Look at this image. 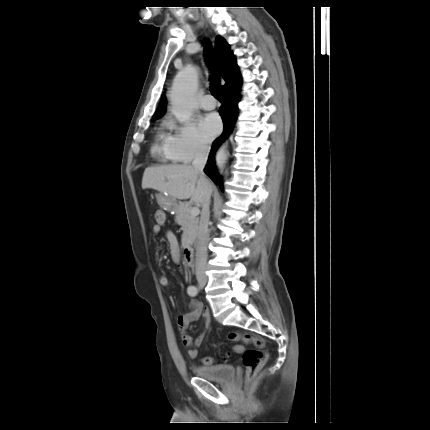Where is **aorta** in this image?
I'll use <instances>...</instances> for the list:
<instances>
[{
	"mask_svg": "<svg viewBox=\"0 0 430 430\" xmlns=\"http://www.w3.org/2000/svg\"><path fill=\"white\" fill-rule=\"evenodd\" d=\"M197 89V74L192 68H186L174 79L169 94L171 111L180 122H186L191 118L194 107V96ZM226 146L219 148L216 154V163L223 169L227 161Z\"/></svg>",
	"mask_w": 430,
	"mask_h": 430,
	"instance_id": "obj_1",
	"label": "aorta"
}]
</instances>
